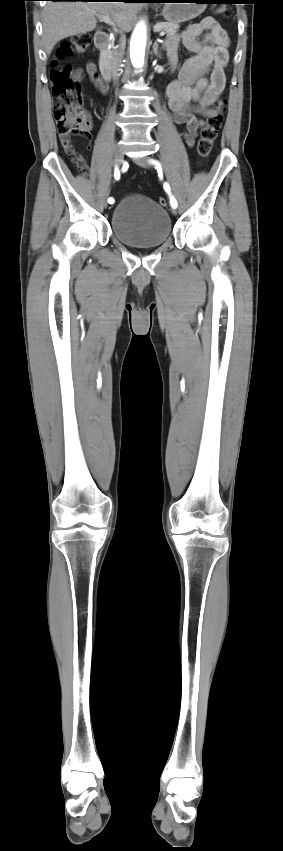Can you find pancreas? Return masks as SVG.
I'll return each mask as SVG.
<instances>
[{"label":"pancreas","instance_id":"pancreas-1","mask_svg":"<svg viewBox=\"0 0 283 851\" xmlns=\"http://www.w3.org/2000/svg\"><path fill=\"white\" fill-rule=\"evenodd\" d=\"M179 24L171 23V22H159L154 26L155 31H164L168 36L175 35L178 32ZM114 51H109L107 53L108 58L111 59L114 55Z\"/></svg>","mask_w":283,"mask_h":851}]
</instances>
